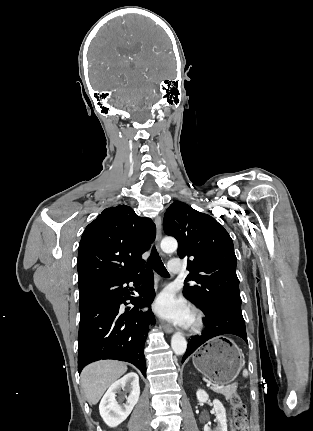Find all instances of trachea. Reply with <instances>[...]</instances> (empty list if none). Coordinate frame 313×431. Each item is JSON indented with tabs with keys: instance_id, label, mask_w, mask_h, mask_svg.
Returning <instances> with one entry per match:
<instances>
[{
	"instance_id": "1",
	"label": "trachea",
	"mask_w": 313,
	"mask_h": 431,
	"mask_svg": "<svg viewBox=\"0 0 313 431\" xmlns=\"http://www.w3.org/2000/svg\"><path fill=\"white\" fill-rule=\"evenodd\" d=\"M147 265L148 267H153L159 275L164 277L169 276L155 246H153L151 250V254H150V257L148 258Z\"/></svg>"
}]
</instances>
